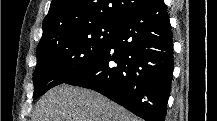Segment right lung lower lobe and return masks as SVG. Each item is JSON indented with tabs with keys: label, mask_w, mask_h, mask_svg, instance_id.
<instances>
[{
	"label": "right lung lower lobe",
	"mask_w": 217,
	"mask_h": 121,
	"mask_svg": "<svg viewBox=\"0 0 217 121\" xmlns=\"http://www.w3.org/2000/svg\"><path fill=\"white\" fill-rule=\"evenodd\" d=\"M173 35L163 0L118 26L104 52L64 83L93 89L146 121H164L173 76Z\"/></svg>",
	"instance_id": "right-lung-lower-lobe-1"
}]
</instances>
